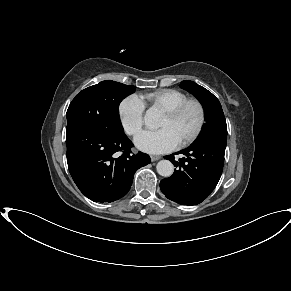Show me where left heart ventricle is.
<instances>
[{"label": "left heart ventricle", "mask_w": 291, "mask_h": 291, "mask_svg": "<svg viewBox=\"0 0 291 291\" xmlns=\"http://www.w3.org/2000/svg\"><path fill=\"white\" fill-rule=\"evenodd\" d=\"M199 120V111L197 107H188L182 115L172 120L163 115L159 121V128H167L179 142L190 136L197 127Z\"/></svg>", "instance_id": "obj_1"}]
</instances>
